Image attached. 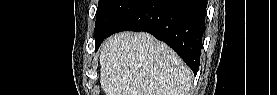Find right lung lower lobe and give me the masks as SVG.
Masks as SVG:
<instances>
[{"instance_id":"1","label":"right lung lower lobe","mask_w":277,"mask_h":95,"mask_svg":"<svg viewBox=\"0 0 277 95\" xmlns=\"http://www.w3.org/2000/svg\"><path fill=\"white\" fill-rule=\"evenodd\" d=\"M207 0H144L109 33H151L174 49L196 75Z\"/></svg>"}]
</instances>
